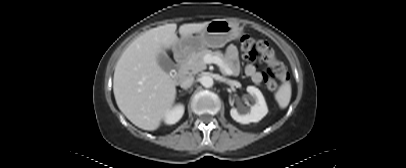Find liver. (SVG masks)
I'll list each match as a JSON object with an SVG mask.
<instances>
[{"label": "liver", "instance_id": "obj_1", "mask_svg": "<svg viewBox=\"0 0 406 168\" xmlns=\"http://www.w3.org/2000/svg\"><path fill=\"white\" fill-rule=\"evenodd\" d=\"M209 22L183 24L181 37L202 31ZM175 23L150 29L135 39L118 60L113 92L118 108L135 126L154 131L172 108L176 85L158 63L178 42Z\"/></svg>", "mask_w": 406, "mask_h": 168}]
</instances>
